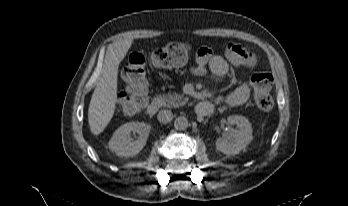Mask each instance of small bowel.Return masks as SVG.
I'll return each mask as SVG.
<instances>
[{"mask_svg": "<svg viewBox=\"0 0 348 206\" xmlns=\"http://www.w3.org/2000/svg\"><path fill=\"white\" fill-rule=\"evenodd\" d=\"M199 55L196 57V65L191 69L192 73L202 75L209 69L218 79L223 78L228 73L230 63L239 67H253L255 64L253 54L237 43L228 44L224 56L213 55L208 47L200 48ZM249 94L250 88L248 83L242 81L232 92L218 97L217 102L238 106L248 100Z\"/></svg>", "mask_w": 348, "mask_h": 206, "instance_id": "obj_1", "label": "small bowel"}]
</instances>
